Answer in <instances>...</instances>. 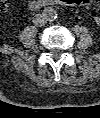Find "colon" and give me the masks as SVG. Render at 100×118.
<instances>
[{"mask_svg": "<svg viewBox=\"0 0 100 118\" xmlns=\"http://www.w3.org/2000/svg\"><path fill=\"white\" fill-rule=\"evenodd\" d=\"M10 0H0V5H1V8L2 9H5L8 5ZM68 4H77V3H80V4H87L90 2V0H66Z\"/></svg>", "mask_w": 100, "mask_h": 118, "instance_id": "1", "label": "colon"}]
</instances>
